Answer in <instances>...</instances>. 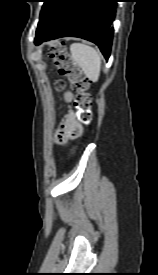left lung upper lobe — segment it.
<instances>
[{
    "label": "left lung upper lobe",
    "mask_w": 158,
    "mask_h": 275,
    "mask_svg": "<svg viewBox=\"0 0 158 275\" xmlns=\"http://www.w3.org/2000/svg\"><path fill=\"white\" fill-rule=\"evenodd\" d=\"M48 1H49V0H45L44 5H43V7H42V10H43V8L46 6V4L48 3ZM41 15H42V11H41ZM41 15H40V20H41ZM40 20H39V23H40Z\"/></svg>",
    "instance_id": "1"
}]
</instances>
